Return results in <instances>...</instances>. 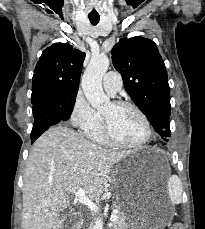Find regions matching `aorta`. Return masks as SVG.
Returning <instances> with one entry per match:
<instances>
[{
	"label": "aorta",
	"instance_id": "obj_1",
	"mask_svg": "<svg viewBox=\"0 0 205 229\" xmlns=\"http://www.w3.org/2000/svg\"><path fill=\"white\" fill-rule=\"evenodd\" d=\"M109 64L107 56H93L82 77L81 85L84 95L95 109H100L110 103V98L102 88V77L108 70ZM93 229H103L102 218H97Z\"/></svg>",
	"mask_w": 205,
	"mask_h": 229
}]
</instances>
